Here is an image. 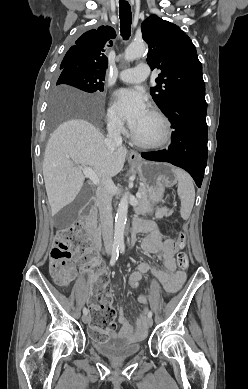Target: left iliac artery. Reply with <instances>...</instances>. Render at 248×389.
<instances>
[{
  "label": "left iliac artery",
  "instance_id": "1",
  "mask_svg": "<svg viewBox=\"0 0 248 389\" xmlns=\"http://www.w3.org/2000/svg\"><path fill=\"white\" fill-rule=\"evenodd\" d=\"M121 253H124V248L123 247L121 248ZM148 317L149 318L152 317V312L151 311L148 312Z\"/></svg>",
  "mask_w": 248,
  "mask_h": 389
}]
</instances>
